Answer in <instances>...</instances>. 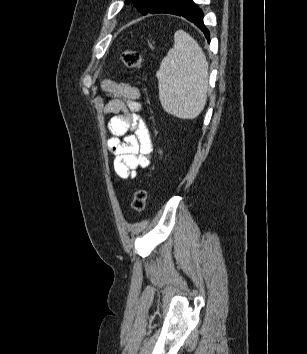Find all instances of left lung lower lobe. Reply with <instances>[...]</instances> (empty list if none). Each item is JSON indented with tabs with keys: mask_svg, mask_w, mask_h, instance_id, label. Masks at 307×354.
Wrapping results in <instances>:
<instances>
[{
	"mask_svg": "<svg viewBox=\"0 0 307 354\" xmlns=\"http://www.w3.org/2000/svg\"><path fill=\"white\" fill-rule=\"evenodd\" d=\"M155 13H168L185 17L194 23L204 33L208 42H210L209 30L203 23V12L193 0H169L163 8Z\"/></svg>",
	"mask_w": 307,
	"mask_h": 354,
	"instance_id": "0a47b994",
	"label": "left lung lower lobe"
}]
</instances>
